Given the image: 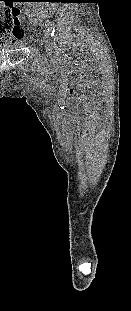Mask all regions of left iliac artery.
<instances>
[{
    "label": "left iliac artery",
    "mask_w": 131,
    "mask_h": 311,
    "mask_svg": "<svg viewBox=\"0 0 131 311\" xmlns=\"http://www.w3.org/2000/svg\"><path fill=\"white\" fill-rule=\"evenodd\" d=\"M45 26L48 30V32L50 33L51 37L55 36V26L54 23L52 21L47 20L45 23Z\"/></svg>",
    "instance_id": "left-iliac-artery-1"
}]
</instances>
